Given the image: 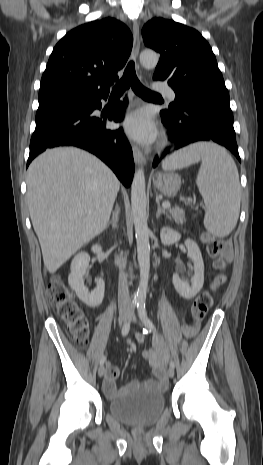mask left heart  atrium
I'll list each match as a JSON object with an SVG mask.
<instances>
[{
  "label": "left heart atrium",
  "instance_id": "39dd6f15",
  "mask_svg": "<svg viewBox=\"0 0 263 465\" xmlns=\"http://www.w3.org/2000/svg\"><path fill=\"white\" fill-rule=\"evenodd\" d=\"M123 131L138 142L149 144L157 135L154 122L144 110H137L127 115L120 123Z\"/></svg>",
  "mask_w": 263,
  "mask_h": 465
}]
</instances>
